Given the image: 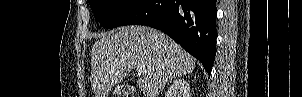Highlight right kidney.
Masks as SVG:
<instances>
[{"label": "right kidney", "instance_id": "ca27d5eb", "mask_svg": "<svg viewBox=\"0 0 302 97\" xmlns=\"http://www.w3.org/2000/svg\"><path fill=\"white\" fill-rule=\"evenodd\" d=\"M175 92H180L183 97H189V84L183 79H177L171 86L170 95L174 94Z\"/></svg>", "mask_w": 302, "mask_h": 97}]
</instances>
